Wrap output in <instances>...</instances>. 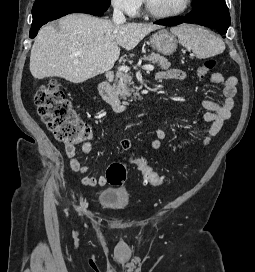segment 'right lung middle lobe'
Segmentation results:
<instances>
[{"label":"right lung middle lobe","instance_id":"right-lung-middle-lobe-1","mask_svg":"<svg viewBox=\"0 0 255 272\" xmlns=\"http://www.w3.org/2000/svg\"><path fill=\"white\" fill-rule=\"evenodd\" d=\"M84 3L96 6L104 11L110 6V0H80Z\"/></svg>","mask_w":255,"mask_h":272}]
</instances>
